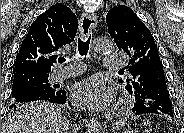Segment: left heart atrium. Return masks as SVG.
I'll list each match as a JSON object with an SVG mask.
<instances>
[{
    "label": "left heart atrium",
    "mask_w": 184,
    "mask_h": 133,
    "mask_svg": "<svg viewBox=\"0 0 184 133\" xmlns=\"http://www.w3.org/2000/svg\"><path fill=\"white\" fill-rule=\"evenodd\" d=\"M72 96L75 104L91 110L104 109L111 100L110 91L97 78H89L77 83Z\"/></svg>",
    "instance_id": "left-heart-atrium-1"
}]
</instances>
